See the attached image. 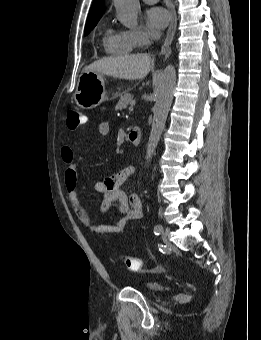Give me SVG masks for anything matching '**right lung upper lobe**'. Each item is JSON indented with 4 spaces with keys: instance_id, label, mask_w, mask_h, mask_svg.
I'll list each match as a JSON object with an SVG mask.
<instances>
[{
    "instance_id": "right-lung-upper-lobe-1",
    "label": "right lung upper lobe",
    "mask_w": 261,
    "mask_h": 340,
    "mask_svg": "<svg viewBox=\"0 0 261 340\" xmlns=\"http://www.w3.org/2000/svg\"><path fill=\"white\" fill-rule=\"evenodd\" d=\"M103 14V0H94L86 23L99 20Z\"/></svg>"
}]
</instances>
